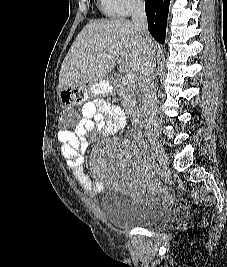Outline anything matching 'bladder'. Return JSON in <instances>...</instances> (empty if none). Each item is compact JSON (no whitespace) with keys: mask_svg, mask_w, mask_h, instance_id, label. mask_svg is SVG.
<instances>
[{"mask_svg":"<svg viewBox=\"0 0 227 267\" xmlns=\"http://www.w3.org/2000/svg\"><path fill=\"white\" fill-rule=\"evenodd\" d=\"M106 221L119 229L157 228L175 220L174 210L159 200H136L117 188H107L100 203Z\"/></svg>","mask_w":227,"mask_h":267,"instance_id":"bladder-1","label":"bladder"}]
</instances>
